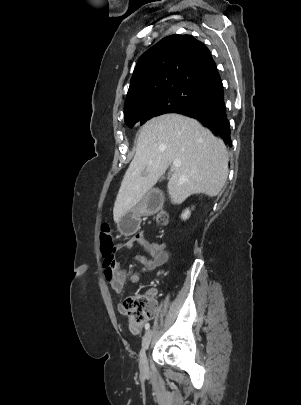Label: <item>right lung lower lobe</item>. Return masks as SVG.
Instances as JSON below:
<instances>
[{
	"label": "right lung lower lobe",
	"mask_w": 301,
	"mask_h": 405,
	"mask_svg": "<svg viewBox=\"0 0 301 405\" xmlns=\"http://www.w3.org/2000/svg\"><path fill=\"white\" fill-rule=\"evenodd\" d=\"M172 113L182 114L199 120L203 126L210 129L224 143L231 147L230 123L226 114L223 86L211 93L204 100L181 107Z\"/></svg>",
	"instance_id": "obj_1"
}]
</instances>
